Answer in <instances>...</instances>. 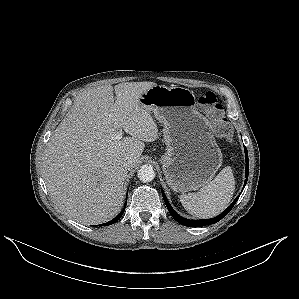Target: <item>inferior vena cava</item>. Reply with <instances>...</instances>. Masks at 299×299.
<instances>
[{
    "label": "inferior vena cava",
    "mask_w": 299,
    "mask_h": 299,
    "mask_svg": "<svg viewBox=\"0 0 299 299\" xmlns=\"http://www.w3.org/2000/svg\"><path fill=\"white\" fill-rule=\"evenodd\" d=\"M132 164V159L130 157H125L122 161V165L125 169L129 168Z\"/></svg>",
    "instance_id": "1"
}]
</instances>
